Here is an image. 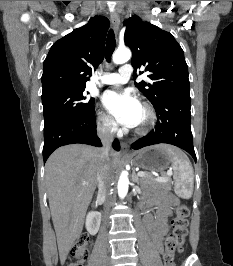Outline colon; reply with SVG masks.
Masks as SVG:
<instances>
[{
	"mask_svg": "<svg viewBox=\"0 0 233 266\" xmlns=\"http://www.w3.org/2000/svg\"><path fill=\"white\" fill-rule=\"evenodd\" d=\"M188 215L189 209L186 205L182 204L176 209L175 217L171 222V232L165 241L164 266H175V253L183 250L188 233ZM87 253L88 237L81 235L71 250L72 257L77 261L69 263L67 266H83L82 261L86 258Z\"/></svg>",
	"mask_w": 233,
	"mask_h": 266,
	"instance_id": "obj_1",
	"label": "colon"
}]
</instances>
